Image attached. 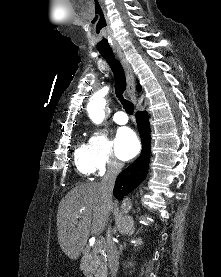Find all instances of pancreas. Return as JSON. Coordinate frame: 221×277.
Segmentation results:
<instances>
[{
    "mask_svg": "<svg viewBox=\"0 0 221 277\" xmlns=\"http://www.w3.org/2000/svg\"><path fill=\"white\" fill-rule=\"evenodd\" d=\"M103 245H98L96 242L92 254L86 250L81 259V270L87 277H106L107 268L102 255H100Z\"/></svg>",
    "mask_w": 221,
    "mask_h": 277,
    "instance_id": "1",
    "label": "pancreas"
}]
</instances>
